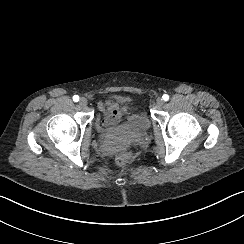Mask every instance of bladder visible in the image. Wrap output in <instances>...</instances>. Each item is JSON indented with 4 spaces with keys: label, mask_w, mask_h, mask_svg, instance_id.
Returning <instances> with one entry per match:
<instances>
[{
    "label": "bladder",
    "mask_w": 244,
    "mask_h": 244,
    "mask_svg": "<svg viewBox=\"0 0 244 244\" xmlns=\"http://www.w3.org/2000/svg\"><path fill=\"white\" fill-rule=\"evenodd\" d=\"M150 127L151 122L149 118L144 113H140L133 109L126 112L124 121L118 128L130 133L144 134L150 130Z\"/></svg>",
    "instance_id": "bladder-1"
}]
</instances>
